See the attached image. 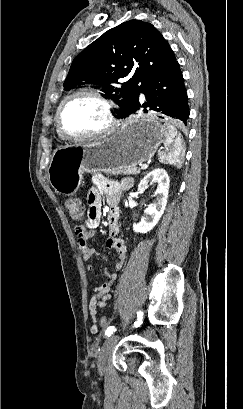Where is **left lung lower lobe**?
Instances as JSON below:
<instances>
[{"label":"left lung lower lobe","mask_w":243,"mask_h":409,"mask_svg":"<svg viewBox=\"0 0 243 409\" xmlns=\"http://www.w3.org/2000/svg\"><path fill=\"white\" fill-rule=\"evenodd\" d=\"M140 92L145 95L146 101L140 102L138 96L127 116L144 111L159 118H163L162 115H167L181 120L187 125L186 121L189 118L188 97L177 61L150 79Z\"/></svg>","instance_id":"0a47b994"}]
</instances>
